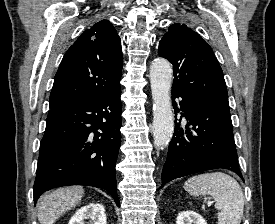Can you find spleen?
<instances>
[{
    "instance_id": "spleen-1",
    "label": "spleen",
    "mask_w": 275,
    "mask_h": 224,
    "mask_svg": "<svg viewBox=\"0 0 275 224\" xmlns=\"http://www.w3.org/2000/svg\"><path fill=\"white\" fill-rule=\"evenodd\" d=\"M184 189L192 196L210 195L219 210L218 224H240L244 211V195L239 183L222 172L190 177Z\"/></svg>"
}]
</instances>
